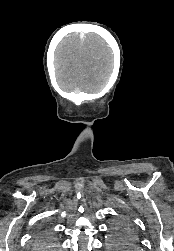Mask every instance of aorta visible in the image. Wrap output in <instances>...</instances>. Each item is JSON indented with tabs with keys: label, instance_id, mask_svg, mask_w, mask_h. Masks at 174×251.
<instances>
[{
	"label": "aorta",
	"instance_id": "obj_1",
	"mask_svg": "<svg viewBox=\"0 0 174 251\" xmlns=\"http://www.w3.org/2000/svg\"><path fill=\"white\" fill-rule=\"evenodd\" d=\"M109 249L115 251L116 248L113 246H110Z\"/></svg>",
	"mask_w": 174,
	"mask_h": 251
}]
</instances>
